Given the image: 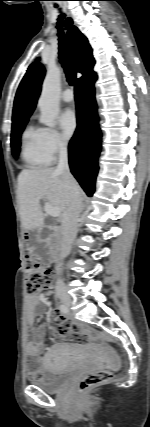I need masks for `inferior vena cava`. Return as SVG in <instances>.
Returning <instances> with one entry per match:
<instances>
[{
  "label": "inferior vena cava",
  "instance_id": "602c4592",
  "mask_svg": "<svg viewBox=\"0 0 150 427\" xmlns=\"http://www.w3.org/2000/svg\"><path fill=\"white\" fill-rule=\"evenodd\" d=\"M56 171L62 174L66 188V208L61 219V248L60 259L65 258L71 250V244L77 234L78 218L82 211V199L76 181L70 173L66 143H59V162ZM60 269L56 268L57 274ZM57 283H62L58 279Z\"/></svg>",
  "mask_w": 150,
  "mask_h": 427
}]
</instances>
